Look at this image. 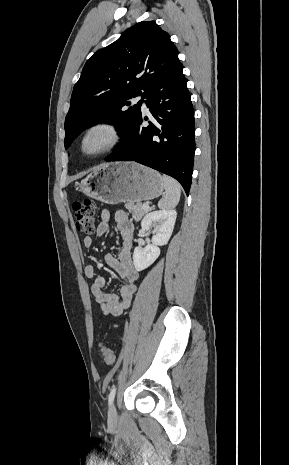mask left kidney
Masks as SVG:
<instances>
[{"mask_svg": "<svg viewBox=\"0 0 289 465\" xmlns=\"http://www.w3.org/2000/svg\"><path fill=\"white\" fill-rule=\"evenodd\" d=\"M176 217L175 210H160L145 215L141 222V228L143 231H149L154 227V235L152 244H148L144 248L136 247L134 249L133 263L137 271L148 268L159 257V246L168 243L174 229Z\"/></svg>", "mask_w": 289, "mask_h": 465, "instance_id": "left-kidney-1", "label": "left kidney"}]
</instances>
